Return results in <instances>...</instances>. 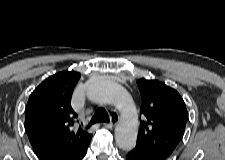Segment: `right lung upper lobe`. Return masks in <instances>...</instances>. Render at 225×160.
Returning a JSON list of instances; mask_svg holds the SVG:
<instances>
[{"instance_id":"obj_1","label":"right lung upper lobe","mask_w":225,"mask_h":160,"mask_svg":"<svg viewBox=\"0 0 225 160\" xmlns=\"http://www.w3.org/2000/svg\"><path fill=\"white\" fill-rule=\"evenodd\" d=\"M80 78L64 71L44 80L30 95L25 129L31 145L46 160H75L89 146L92 134L76 128L71 107L73 88Z\"/></svg>"}]
</instances>
